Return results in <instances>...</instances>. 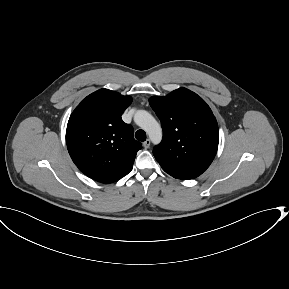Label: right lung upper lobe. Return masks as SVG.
<instances>
[{"mask_svg": "<svg viewBox=\"0 0 289 289\" xmlns=\"http://www.w3.org/2000/svg\"><path fill=\"white\" fill-rule=\"evenodd\" d=\"M132 98L100 89L87 96L71 114L68 152L81 172L95 181L112 183L128 174L142 144L121 115Z\"/></svg>", "mask_w": 289, "mask_h": 289, "instance_id": "right-lung-upper-lobe-1", "label": "right lung upper lobe"}]
</instances>
